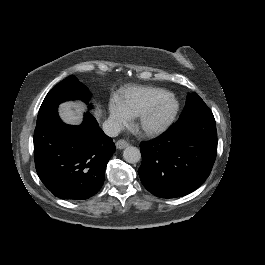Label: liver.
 Segmentation results:
<instances>
[{"label": "liver", "instance_id": "liver-1", "mask_svg": "<svg viewBox=\"0 0 265 265\" xmlns=\"http://www.w3.org/2000/svg\"><path fill=\"white\" fill-rule=\"evenodd\" d=\"M84 108L82 103L66 102L60 105L59 113L64 122L68 124H80ZM94 114L99 119L101 110H96Z\"/></svg>", "mask_w": 265, "mask_h": 265}]
</instances>
